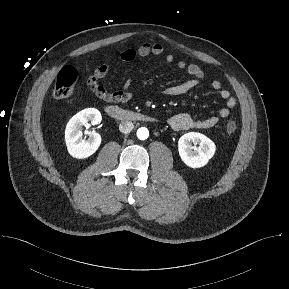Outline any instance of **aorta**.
Masks as SVG:
<instances>
[{
	"label": "aorta",
	"mask_w": 289,
	"mask_h": 289,
	"mask_svg": "<svg viewBox=\"0 0 289 289\" xmlns=\"http://www.w3.org/2000/svg\"><path fill=\"white\" fill-rule=\"evenodd\" d=\"M149 136V131L145 127H141L137 130V137L140 140H146Z\"/></svg>",
	"instance_id": "762f6f07"
}]
</instances>
